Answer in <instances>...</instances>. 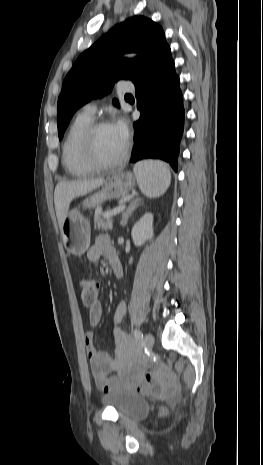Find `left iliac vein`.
Here are the masks:
<instances>
[{"mask_svg":"<svg viewBox=\"0 0 263 465\" xmlns=\"http://www.w3.org/2000/svg\"><path fill=\"white\" fill-rule=\"evenodd\" d=\"M145 346L148 350H151L154 345V337L151 333H146L144 338Z\"/></svg>","mask_w":263,"mask_h":465,"instance_id":"obj_1","label":"left iliac vein"}]
</instances>
